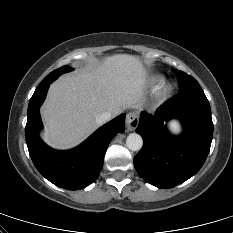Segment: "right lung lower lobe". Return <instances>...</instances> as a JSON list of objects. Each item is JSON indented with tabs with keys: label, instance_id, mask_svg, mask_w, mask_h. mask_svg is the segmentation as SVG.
Segmentation results:
<instances>
[{
	"label": "right lung lower lobe",
	"instance_id": "obj_1",
	"mask_svg": "<svg viewBox=\"0 0 233 233\" xmlns=\"http://www.w3.org/2000/svg\"><path fill=\"white\" fill-rule=\"evenodd\" d=\"M48 87L49 84L37 88L29 102L25 127L29 154L37 170L51 183L68 190H79L97 179L110 141L117 133L125 131V115L99 128L73 150H52L38 136L42 128L39 108Z\"/></svg>",
	"mask_w": 233,
	"mask_h": 233
}]
</instances>
